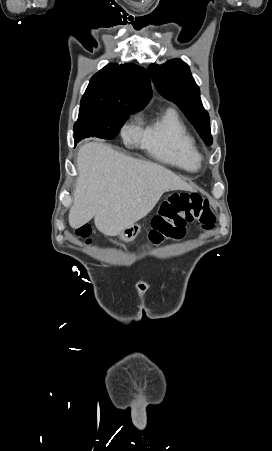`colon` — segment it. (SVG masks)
<instances>
[{"label":"colon","mask_w":272,"mask_h":451,"mask_svg":"<svg viewBox=\"0 0 272 451\" xmlns=\"http://www.w3.org/2000/svg\"><path fill=\"white\" fill-rule=\"evenodd\" d=\"M215 223L216 216L208 197L197 192H181L165 202L159 215L153 217L149 238L154 244L161 243L165 238L178 240L183 235L181 228L187 224H198L205 230H211ZM76 233L87 243L92 242L88 226H80Z\"/></svg>","instance_id":"1"}]
</instances>
